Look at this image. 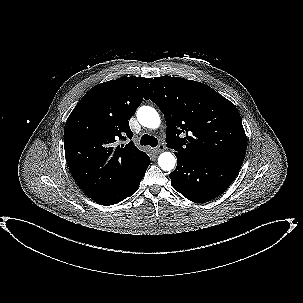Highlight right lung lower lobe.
Here are the masks:
<instances>
[{"label": "right lung lower lobe", "mask_w": 303, "mask_h": 303, "mask_svg": "<svg viewBox=\"0 0 303 303\" xmlns=\"http://www.w3.org/2000/svg\"><path fill=\"white\" fill-rule=\"evenodd\" d=\"M150 164V158L147 159L145 164L122 186L116 190L103 195L97 199H94L95 202L108 206L112 204H117L125 198L131 196L138 189L140 181L144 177V174Z\"/></svg>", "instance_id": "1"}]
</instances>
